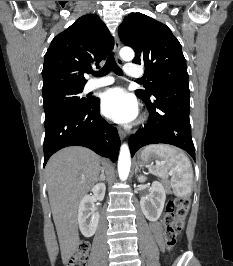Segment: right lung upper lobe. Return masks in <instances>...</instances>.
<instances>
[{
    "label": "right lung upper lobe",
    "instance_id": "1",
    "mask_svg": "<svg viewBox=\"0 0 233 266\" xmlns=\"http://www.w3.org/2000/svg\"><path fill=\"white\" fill-rule=\"evenodd\" d=\"M114 47V40L98 15L87 14L51 42L44 57L43 94L83 88L84 72L97 67Z\"/></svg>",
    "mask_w": 233,
    "mask_h": 266
}]
</instances>
